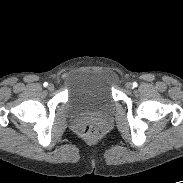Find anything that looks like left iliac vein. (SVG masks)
Instances as JSON below:
<instances>
[{"label":"left iliac vein","mask_w":183,"mask_h":183,"mask_svg":"<svg viewBox=\"0 0 183 183\" xmlns=\"http://www.w3.org/2000/svg\"><path fill=\"white\" fill-rule=\"evenodd\" d=\"M126 89L131 90L133 88V84L131 82H127L125 84Z\"/></svg>","instance_id":"4c4485c4"}]
</instances>
